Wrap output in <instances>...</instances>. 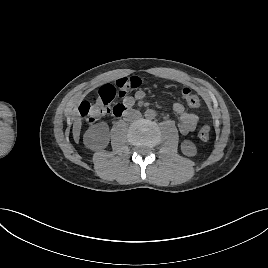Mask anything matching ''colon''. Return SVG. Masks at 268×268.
<instances>
[{
  "label": "colon",
  "mask_w": 268,
  "mask_h": 268,
  "mask_svg": "<svg viewBox=\"0 0 268 268\" xmlns=\"http://www.w3.org/2000/svg\"><path fill=\"white\" fill-rule=\"evenodd\" d=\"M142 83L143 80L140 77L130 76L121 78L115 83L104 84L99 88L96 95L81 104L80 113L82 117L90 123L99 120L111 111V104L117 97L125 96L128 92L140 87ZM182 96L191 108H201L199 97L193 94L189 88H183ZM198 137L202 142L208 141L210 138V127L203 125L198 132Z\"/></svg>",
  "instance_id": "5ec220e1"
}]
</instances>
